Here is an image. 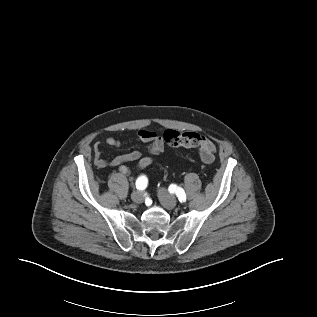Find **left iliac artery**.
Returning <instances> with one entry per match:
<instances>
[{"instance_id": "44dca946", "label": "left iliac artery", "mask_w": 317, "mask_h": 317, "mask_svg": "<svg viewBox=\"0 0 317 317\" xmlns=\"http://www.w3.org/2000/svg\"><path fill=\"white\" fill-rule=\"evenodd\" d=\"M169 190L171 193L174 192L176 190V186L171 185ZM176 195L181 203L186 201V194L182 188H180V187L177 188Z\"/></svg>"}]
</instances>
